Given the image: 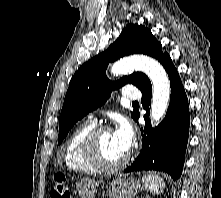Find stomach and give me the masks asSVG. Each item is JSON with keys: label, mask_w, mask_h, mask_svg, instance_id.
<instances>
[{"label": "stomach", "mask_w": 221, "mask_h": 198, "mask_svg": "<svg viewBox=\"0 0 221 198\" xmlns=\"http://www.w3.org/2000/svg\"><path fill=\"white\" fill-rule=\"evenodd\" d=\"M98 183L92 179H82L76 184L80 198H95ZM141 190L140 183L134 178L120 176L114 179L107 189L109 198H133Z\"/></svg>", "instance_id": "0dacf381"}]
</instances>
